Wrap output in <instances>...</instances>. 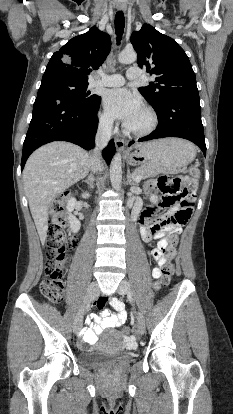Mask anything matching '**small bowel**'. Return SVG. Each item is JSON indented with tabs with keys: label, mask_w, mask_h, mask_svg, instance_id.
<instances>
[{
	"label": "small bowel",
	"mask_w": 233,
	"mask_h": 414,
	"mask_svg": "<svg viewBox=\"0 0 233 414\" xmlns=\"http://www.w3.org/2000/svg\"><path fill=\"white\" fill-rule=\"evenodd\" d=\"M140 210V203L135 205L134 212L137 215ZM176 208H172L158 218L153 217V208L146 209L140 219V235L143 241L150 242L153 239L159 240L155 249L149 252L156 262L157 267L152 271L153 277L158 279L162 275V268L167 264V257L163 254V251L167 245V236L176 234L181 231V227L184 223L179 221L175 214ZM157 283V282H156ZM109 302L110 306L116 311L111 312L105 308L106 303ZM93 308H99V317H91L88 320L89 326L85 327L81 331V339L86 344H93L96 341L97 335L102 330L107 328H119L127 320V311L124 303L116 297H100L92 302ZM132 308L131 306L129 307ZM93 321L95 323H93Z\"/></svg>",
	"instance_id": "c3829d8e"
}]
</instances>
